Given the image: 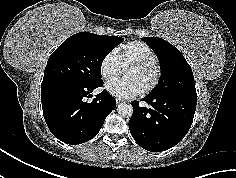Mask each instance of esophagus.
Segmentation results:
<instances>
[{"instance_id":"34e87169","label":"esophagus","mask_w":236,"mask_h":178,"mask_svg":"<svg viewBox=\"0 0 236 178\" xmlns=\"http://www.w3.org/2000/svg\"><path fill=\"white\" fill-rule=\"evenodd\" d=\"M122 102H123V100L118 99V98L116 99V103H117V104H120V103H122Z\"/></svg>"}]
</instances>
